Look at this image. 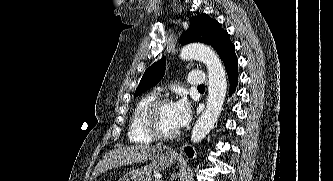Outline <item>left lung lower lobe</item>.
I'll return each mask as SVG.
<instances>
[{"instance_id":"0a47b994","label":"left lung lower lobe","mask_w":333,"mask_h":181,"mask_svg":"<svg viewBox=\"0 0 333 181\" xmlns=\"http://www.w3.org/2000/svg\"><path fill=\"white\" fill-rule=\"evenodd\" d=\"M223 63L225 65L228 77H229V82H230V94H232L235 91L236 83L238 81V60L235 55V47L233 46L227 54L224 56L222 59ZM186 154L189 157H192L193 151L190 147H187L185 149Z\"/></svg>"}]
</instances>
